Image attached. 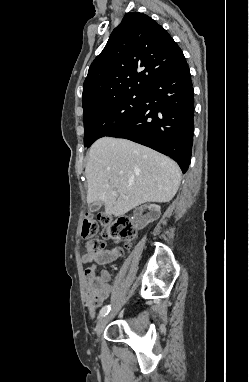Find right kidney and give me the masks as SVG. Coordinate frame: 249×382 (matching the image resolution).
<instances>
[{
  "mask_svg": "<svg viewBox=\"0 0 249 382\" xmlns=\"http://www.w3.org/2000/svg\"><path fill=\"white\" fill-rule=\"evenodd\" d=\"M145 211H149L145 216L142 214ZM160 206L152 205L151 202H146V204H142L139 209L134 211L133 223L137 224L136 228L138 230H142L147 224L157 220L160 217Z\"/></svg>",
  "mask_w": 249,
  "mask_h": 382,
  "instance_id": "right-kidney-1",
  "label": "right kidney"
}]
</instances>
